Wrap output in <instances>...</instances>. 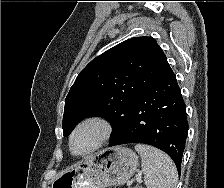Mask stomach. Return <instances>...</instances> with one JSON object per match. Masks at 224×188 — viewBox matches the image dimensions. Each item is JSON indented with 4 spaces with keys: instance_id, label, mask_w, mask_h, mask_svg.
I'll return each instance as SVG.
<instances>
[{
    "instance_id": "1",
    "label": "stomach",
    "mask_w": 224,
    "mask_h": 188,
    "mask_svg": "<svg viewBox=\"0 0 224 188\" xmlns=\"http://www.w3.org/2000/svg\"><path fill=\"white\" fill-rule=\"evenodd\" d=\"M138 167V156L127 147L103 149L62 171L51 188H106L126 183Z\"/></svg>"
}]
</instances>
